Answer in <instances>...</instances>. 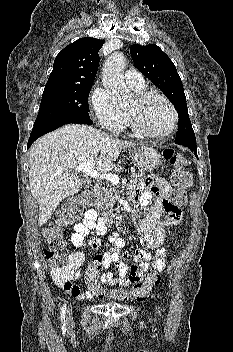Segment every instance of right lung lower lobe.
Returning <instances> with one entry per match:
<instances>
[{"label":"right lung lower lobe","instance_id":"obj_1","mask_svg":"<svg viewBox=\"0 0 233 352\" xmlns=\"http://www.w3.org/2000/svg\"><path fill=\"white\" fill-rule=\"evenodd\" d=\"M70 123L91 125L93 122L90 118L70 117V118H65V119L34 126L30 134L27 147L29 148L32 145V143L40 136L46 133H49L65 124H70Z\"/></svg>","mask_w":233,"mask_h":352}]
</instances>
